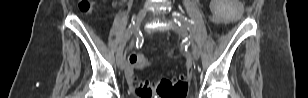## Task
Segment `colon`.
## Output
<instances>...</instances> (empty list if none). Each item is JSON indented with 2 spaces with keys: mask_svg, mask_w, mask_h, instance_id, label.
I'll return each instance as SVG.
<instances>
[{
  "mask_svg": "<svg viewBox=\"0 0 308 98\" xmlns=\"http://www.w3.org/2000/svg\"><path fill=\"white\" fill-rule=\"evenodd\" d=\"M93 3L89 0H82L79 8L82 12H89ZM129 62L136 68H143L149 65V60L140 54H131ZM188 89V83L184 78L178 80L163 79L158 83L139 82L136 93L142 98H151L154 94L160 98H183ZM157 98V97H155Z\"/></svg>",
  "mask_w": 308,
  "mask_h": 98,
  "instance_id": "colon-1",
  "label": "colon"
}]
</instances>
